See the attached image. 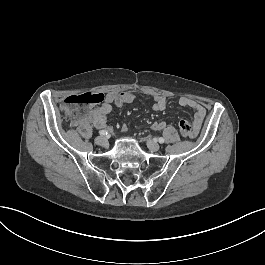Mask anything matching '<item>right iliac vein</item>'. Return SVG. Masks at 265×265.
<instances>
[{
	"mask_svg": "<svg viewBox=\"0 0 265 265\" xmlns=\"http://www.w3.org/2000/svg\"><path fill=\"white\" fill-rule=\"evenodd\" d=\"M95 142L98 144V145H101V146H106L107 145V139L104 137V136H97L95 138Z\"/></svg>",
	"mask_w": 265,
	"mask_h": 265,
	"instance_id": "63e3f726",
	"label": "right iliac vein"
}]
</instances>
